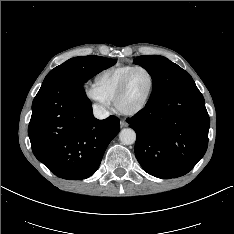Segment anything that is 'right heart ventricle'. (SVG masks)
<instances>
[{
	"instance_id": "e07e8e85",
	"label": "right heart ventricle",
	"mask_w": 234,
	"mask_h": 234,
	"mask_svg": "<svg viewBox=\"0 0 234 234\" xmlns=\"http://www.w3.org/2000/svg\"><path fill=\"white\" fill-rule=\"evenodd\" d=\"M134 67L131 64H117L105 68L96 76L95 85L106 98L113 100L123 78Z\"/></svg>"
}]
</instances>
